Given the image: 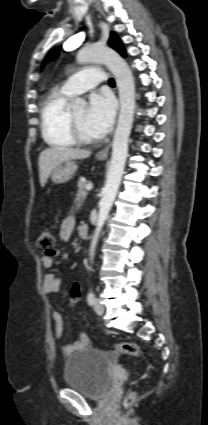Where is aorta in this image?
Here are the masks:
<instances>
[{"label": "aorta", "instance_id": "aorta-1", "mask_svg": "<svg viewBox=\"0 0 208 425\" xmlns=\"http://www.w3.org/2000/svg\"><path fill=\"white\" fill-rule=\"evenodd\" d=\"M76 60L78 63L100 62L106 64L116 79L120 99V113L113 138L111 162L103 188V196L99 203L97 227L90 246V255H93L99 234L117 195L125 167L128 139L134 120L135 83L128 64L116 51L108 47L97 45L85 47L78 52ZM73 104L75 107H80L85 105V101L76 98Z\"/></svg>", "mask_w": 208, "mask_h": 425}]
</instances>
